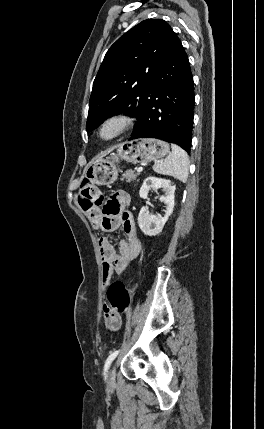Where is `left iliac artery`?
Listing matches in <instances>:
<instances>
[{
  "label": "left iliac artery",
  "instance_id": "1",
  "mask_svg": "<svg viewBox=\"0 0 264 429\" xmlns=\"http://www.w3.org/2000/svg\"><path fill=\"white\" fill-rule=\"evenodd\" d=\"M119 351H120V350L113 351V352L109 355V357L107 358V360H106V362H105V365H104V375H105V378L107 377V372H108V369H109V367H110L111 363H112V362L114 361V359L117 357V355L119 354Z\"/></svg>",
  "mask_w": 264,
  "mask_h": 429
}]
</instances>
